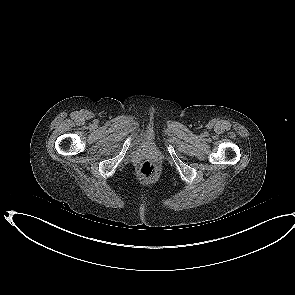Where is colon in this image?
<instances>
[{"mask_svg":"<svg viewBox=\"0 0 295 295\" xmlns=\"http://www.w3.org/2000/svg\"><path fill=\"white\" fill-rule=\"evenodd\" d=\"M140 177L145 181L153 180L157 175V169L155 165L150 162H144L139 169Z\"/></svg>","mask_w":295,"mask_h":295,"instance_id":"5ec220e1","label":"colon"}]
</instances>
